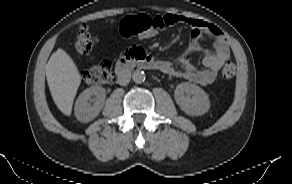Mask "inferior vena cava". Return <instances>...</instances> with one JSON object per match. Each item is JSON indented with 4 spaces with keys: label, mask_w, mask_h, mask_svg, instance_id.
Returning a JSON list of instances; mask_svg holds the SVG:
<instances>
[{
    "label": "inferior vena cava",
    "mask_w": 292,
    "mask_h": 184,
    "mask_svg": "<svg viewBox=\"0 0 292 184\" xmlns=\"http://www.w3.org/2000/svg\"><path fill=\"white\" fill-rule=\"evenodd\" d=\"M131 72L129 70H124L118 74L117 82L119 85L125 86L130 82Z\"/></svg>",
    "instance_id": "obj_1"
}]
</instances>
